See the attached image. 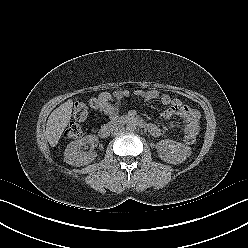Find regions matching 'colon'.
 Segmentation results:
<instances>
[{"label": "colon", "instance_id": "colon-1", "mask_svg": "<svg viewBox=\"0 0 248 248\" xmlns=\"http://www.w3.org/2000/svg\"><path fill=\"white\" fill-rule=\"evenodd\" d=\"M103 101L104 99L101 96L91 99L89 102V107L91 109H98L102 105ZM73 116L74 119L79 122L86 120L88 116V107L82 102L75 103L73 108ZM81 133V127L77 123H71L64 131L63 137L67 140H74L79 138ZM195 141V136H184L183 138V142L188 145L195 143Z\"/></svg>", "mask_w": 248, "mask_h": 248}]
</instances>
